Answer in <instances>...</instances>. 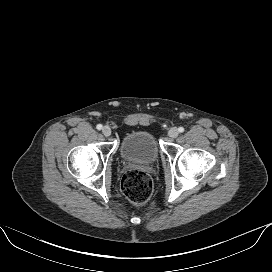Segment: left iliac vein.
<instances>
[{
    "label": "left iliac vein",
    "instance_id": "obj_1",
    "mask_svg": "<svg viewBox=\"0 0 272 272\" xmlns=\"http://www.w3.org/2000/svg\"><path fill=\"white\" fill-rule=\"evenodd\" d=\"M178 135H179V131L176 127H173L168 131V136L171 138H176Z\"/></svg>",
    "mask_w": 272,
    "mask_h": 272
}]
</instances>
